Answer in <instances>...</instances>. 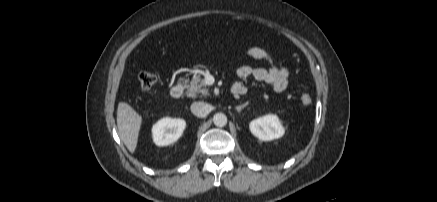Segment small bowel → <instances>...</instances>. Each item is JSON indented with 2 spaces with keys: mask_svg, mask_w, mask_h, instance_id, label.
<instances>
[{
  "mask_svg": "<svg viewBox=\"0 0 437 202\" xmlns=\"http://www.w3.org/2000/svg\"><path fill=\"white\" fill-rule=\"evenodd\" d=\"M247 55L255 60H263L271 64L269 68L251 67L242 65L237 69L239 81L233 85V89L238 95H243L248 90L247 82L253 79L256 82L269 85L275 92H282L288 86L290 72L287 68L276 65L272 55L261 47H251L247 51Z\"/></svg>",
  "mask_w": 437,
  "mask_h": 202,
  "instance_id": "1",
  "label": "small bowel"
}]
</instances>
